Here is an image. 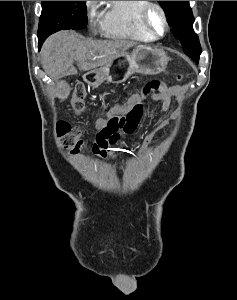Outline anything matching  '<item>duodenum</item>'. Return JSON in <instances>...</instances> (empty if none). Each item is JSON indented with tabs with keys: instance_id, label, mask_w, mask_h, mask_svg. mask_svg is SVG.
<instances>
[{
	"instance_id": "410a0bca",
	"label": "duodenum",
	"mask_w": 237,
	"mask_h": 300,
	"mask_svg": "<svg viewBox=\"0 0 237 300\" xmlns=\"http://www.w3.org/2000/svg\"><path fill=\"white\" fill-rule=\"evenodd\" d=\"M88 80L90 83H95V79L92 76H89Z\"/></svg>"
}]
</instances>
